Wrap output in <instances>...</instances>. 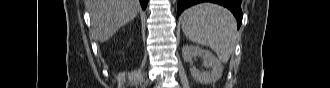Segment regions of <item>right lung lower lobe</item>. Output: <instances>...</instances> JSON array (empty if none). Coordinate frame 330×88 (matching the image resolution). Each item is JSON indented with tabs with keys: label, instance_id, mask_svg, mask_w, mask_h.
<instances>
[{
	"label": "right lung lower lobe",
	"instance_id": "obj_1",
	"mask_svg": "<svg viewBox=\"0 0 330 88\" xmlns=\"http://www.w3.org/2000/svg\"><path fill=\"white\" fill-rule=\"evenodd\" d=\"M140 3L142 5V8L143 9H146V6H147V3H148V0H140Z\"/></svg>",
	"mask_w": 330,
	"mask_h": 88
}]
</instances>
